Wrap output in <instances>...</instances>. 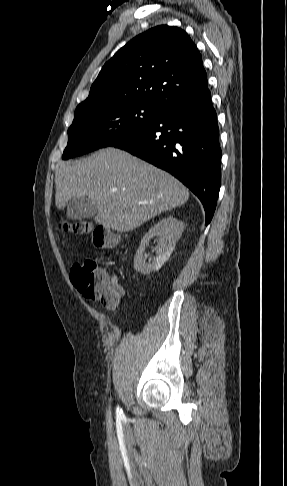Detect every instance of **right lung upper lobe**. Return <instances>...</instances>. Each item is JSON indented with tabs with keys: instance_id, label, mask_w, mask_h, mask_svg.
I'll return each mask as SVG.
<instances>
[{
	"instance_id": "right-lung-upper-lobe-1",
	"label": "right lung upper lobe",
	"mask_w": 287,
	"mask_h": 486,
	"mask_svg": "<svg viewBox=\"0 0 287 486\" xmlns=\"http://www.w3.org/2000/svg\"><path fill=\"white\" fill-rule=\"evenodd\" d=\"M207 86L202 56L188 34L160 25L133 38L105 63L76 111L119 100L165 105Z\"/></svg>"
}]
</instances>
